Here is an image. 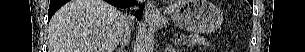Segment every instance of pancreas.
Segmentation results:
<instances>
[{"instance_id":"obj_1","label":"pancreas","mask_w":305,"mask_h":52,"mask_svg":"<svg viewBox=\"0 0 305 52\" xmlns=\"http://www.w3.org/2000/svg\"><path fill=\"white\" fill-rule=\"evenodd\" d=\"M182 39V44L186 45V46H194V45H208L209 42L207 41V39L201 35H189V36H185L183 35L181 37Z\"/></svg>"}]
</instances>
